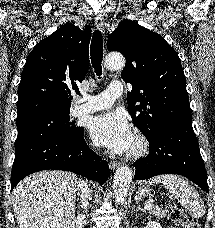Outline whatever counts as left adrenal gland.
Returning a JSON list of instances; mask_svg holds the SVG:
<instances>
[{
	"mask_svg": "<svg viewBox=\"0 0 215 228\" xmlns=\"http://www.w3.org/2000/svg\"><path fill=\"white\" fill-rule=\"evenodd\" d=\"M135 204L137 206V210H141V212H145V210H142V208H140L138 200H137V202H135ZM145 214H146V212H145Z\"/></svg>",
	"mask_w": 215,
	"mask_h": 228,
	"instance_id": "left-adrenal-gland-1",
	"label": "left adrenal gland"
}]
</instances>
